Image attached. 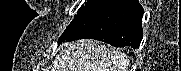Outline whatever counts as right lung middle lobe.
<instances>
[{"instance_id":"right-lung-middle-lobe-1","label":"right lung middle lobe","mask_w":181,"mask_h":71,"mask_svg":"<svg viewBox=\"0 0 181 71\" xmlns=\"http://www.w3.org/2000/svg\"><path fill=\"white\" fill-rule=\"evenodd\" d=\"M96 0H87V2H85V5H82L81 7H80V9L78 10V14L77 15H79V14H81L83 11H85L89 6H91L94 2H95ZM76 15V16H77ZM75 16V17H76Z\"/></svg>"}]
</instances>
